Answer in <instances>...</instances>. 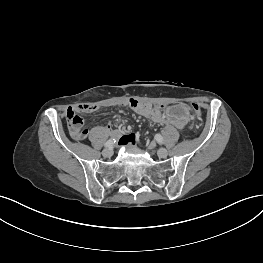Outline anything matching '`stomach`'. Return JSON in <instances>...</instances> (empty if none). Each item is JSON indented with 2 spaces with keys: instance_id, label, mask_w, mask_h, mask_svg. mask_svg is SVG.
Wrapping results in <instances>:
<instances>
[{
  "instance_id": "0dacf381",
  "label": "stomach",
  "mask_w": 263,
  "mask_h": 263,
  "mask_svg": "<svg viewBox=\"0 0 263 263\" xmlns=\"http://www.w3.org/2000/svg\"><path fill=\"white\" fill-rule=\"evenodd\" d=\"M164 114L169 119L185 121L190 116V109L185 104H180L178 102H169L164 107Z\"/></svg>"
}]
</instances>
